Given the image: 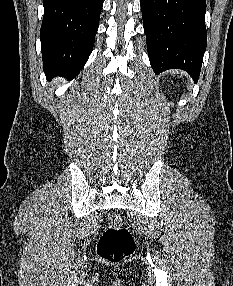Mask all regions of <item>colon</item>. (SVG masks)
I'll return each mask as SVG.
<instances>
[{
	"instance_id": "1",
	"label": "colon",
	"mask_w": 233,
	"mask_h": 286,
	"mask_svg": "<svg viewBox=\"0 0 233 286\" xmlns=\"http://www.w3.org/2000/svg\"><path fill=\"white\" fill-rule=\"evenodd\" d=\"M135 241L121 215L113 213L107 218V228L97 244L98 256L109 263H119L131 256Z\"/></svg>"
}]
</instances>
